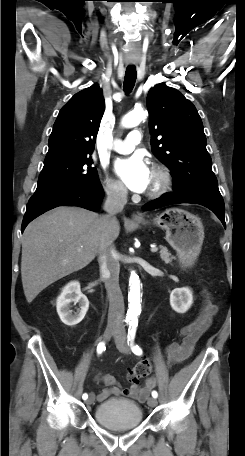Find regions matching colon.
Returning <instances> with one entry per match:
<instances>
[{
	"label": "colon",
	"instance_id": "1",
	"mask_svg": "<svg viewBox=\"0 0 245 456\" xmlns=\"http://www.w3.org/2000/svg\"><path fill=\"white\" fill-rule=\"evenodd\" d=\"M152 370V364L149 359L139 361L130 369V379L132 382L138 383L141 379L147 377Z\"/></svg>",
	"mask_w": 245,
	"mask_h": 456
}]
</instances>
